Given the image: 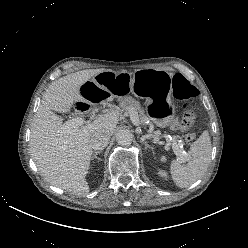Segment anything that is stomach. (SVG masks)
<instances>
[{
	"label": "stomach",
	"instance_id": "obj_1",
	"mask_svg": "<svg viewBox=\"0 0 248 248\" xmlns=\"http://www.w3.org/2000/svg\"><path fill=\"white\" fill-rule=\"evenodd\" d=\"M172 75L165 70L141 69L133 73L111 70L97 74L87 85L84 94L89 103L100 102L107 97L124 99L139 85L137 92L147 97L148 118L158 127L168 126L175 116L170 98Z\"/></svg>",
	"mask_w": 248,
	"mask_h": 248
}]
</instances>
